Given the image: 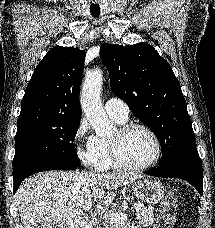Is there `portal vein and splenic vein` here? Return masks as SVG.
Here are the masks:
<instances>
[{"label": "portal vein and splenic vein", "instance_id": "portal-vein-and-splenic-vein-1", "mask_svg": "<svg viewBox=\"0 0 215 228\" xmlns=\"http://www.w3.org/2000/svg\"><path fill=\"white\" fill-rule=\"evenodd\" d=\"M83 210H87V212H91L92 210V204H84ZM134 210H142V206L140 204H134ZM128 216L127 214H108V220L110 222H123V220H127Z\"/></svg>", "mask_w": 215, "mask_h": 228}]
</instances>
